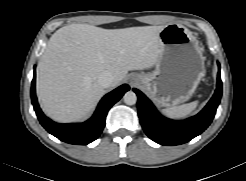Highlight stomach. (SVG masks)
I'll return each instance as SVG.
<instances>
[{"label": "stomach", "mask_w": 246, "mask_h": 181, "mask_svg": "<svg viewBox=\"0 0 246 181\" xmlns=\"http://www.w3.org/2000/svg\"><path fill=\"white\" fill-rule=\"evenodd\" d=\"M161 54L151 72L136 75L139 84L161 107L188 101L204 76L202 49L183 25L169 24L159 33Z\"/></svg>", "instance_id": "0dacf381"}]
</instances>
